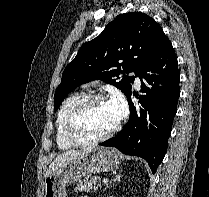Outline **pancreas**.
I'll return each instance as SVG.
<instances>
[{"mask_svg":"<svg viewBox=\"0 0 209 197\" xmlns=\"http://www.w3.org/2000/svg\"><path fill=\"white\" fill-rule=\"evenodd\" d=\"M101 187L100 178L99 177H86L82 180H79L77 186L75 187L76 192H91L97 191L98 188Z\"/></svg>","mask_w":209,"mask_h":197,"instance_id":"pancreas-1","label":"pancreas"}]
</instances>
